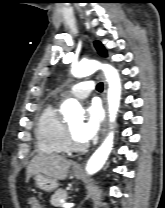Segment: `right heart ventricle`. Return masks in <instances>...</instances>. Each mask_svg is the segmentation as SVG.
I'll use <instances>...</instances> for the list:
<instances>
[{
  "instance_id": "right-heart-ventricle-1",
  "label": "right heart ventricle",
  "mask_w": 165,
  "mask_h": 208,
  "mask_svg": "<svg viewBox=\"0 0 165 208\" xmlns=\"http://www.w3.org/2000/svg\"><path fill=\"white\" fill-rule=\"evenodd\" d=\"M36 142L39 151L48 155L69 152L65 145V124L54 102L45 106L36 124Z\"/></svg>"
}]
</instances>
